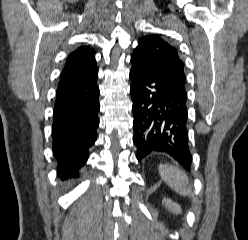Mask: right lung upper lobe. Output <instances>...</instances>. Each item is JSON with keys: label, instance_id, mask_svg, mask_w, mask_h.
Returning a JSON list of instances; mask_svg holds the SVG:
<instances>
[{"label": "right lung upper lobe", "instance_id": "1", "mask_svg": "<svg viewBox=\"0 0 248 240\" xmlns=\"http://www.w3.org/2000/svg\"><path fill=\"white\" fill-rule=\"evenodd\" d=\"M93 49L81 46L69 54L59 84L71 81L97 68Z\"/></svg>", "mask_w": 248, "mask_h": 240}]
</instances>
